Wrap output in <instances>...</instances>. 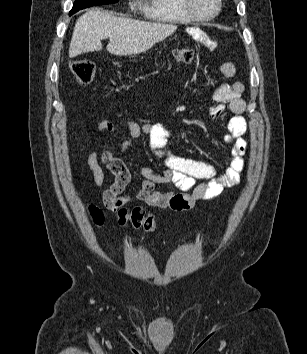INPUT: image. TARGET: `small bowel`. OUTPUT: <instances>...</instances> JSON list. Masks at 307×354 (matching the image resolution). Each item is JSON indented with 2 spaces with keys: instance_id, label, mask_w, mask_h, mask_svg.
Here are the masks:
<instances>
[{
  "instance_id": "1",
  "label": "small bowel",
  "mask_w": 307,
  "mask_h": 354,
  "mask_svg": "<svg viewBox=\"0 0 307 354\" xmlns=\"http://www.w3.org/2000/svg\"><path fill=\"white\" fill-rule=\"evenodd\" d=\"M188 35L212 49L215 42L201 29L190 28ZM221 71L225 77L231 79L235 75V67L231 63H224ZM244 90L240 82L221 86L214 93L217 104L210 109V115L216 122L220 121L228 105L234 114L228 121V134L224 137L226 143L232 145L230 155L226 160L227 168L224 173L216 177L215 168L209 162L195 160L176 155L169 146L172 131L162 123L139 125L134 121H126L128 130L127 138L121 143V152H126L141 136L149 141L153 154L160 159L164 166L162 173H155L148 167L139 170L143 182L136 194V198L151 207L186 211L192 209L198 201L208 200L218 196L224 189L236 186L244 168V155L247 143L243 138L247 130L242 113L245 102L241 99ZM99 132H112L114 125L111 121L104 120L97 124ZM102 162L113 174L114 182L104 192L103 201L109 209L121 207L129 202L124 195L130 182V172L126 164L117 158L111 151H105L99 158L96 152L87 154V164L97 186L104 184V172L100 165ZM198 180L200 182L198 183ZM156 184H172L176 191L160 192L155 190Z\"/></svg>"
}]
</instances>
